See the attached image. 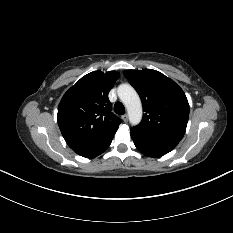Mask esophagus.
Here are the masks:
<instances>
[{
	"label": "esophagus",
	"instance_id": "34e87169",
	"mask_svg": "<svg viewBox=\"0 0 233 233\" xmlns=\"http://www.w3.org/2000/svg\"><path fill=\"white\" fill-rule=\"evenodd\" d=\"M122 119H123L124 122H127L128 121V114H124L122 116Z\"/></svg>",
	"mask_w": 233,
	"mask_h": 233
}]
</instances>
